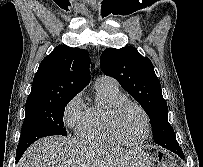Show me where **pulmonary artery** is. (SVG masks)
Wrapping results in <instances>:
<instances>
[{"mask_svg": "<svg viewBox=\"0 0 203 167\" xmlns=\"http://www.w3.org/2000/svg\"><path fill=\"white\" fill-rule=\"evenodd\" d=\"M115 83V80L109 76L101 75L96 80V86Z\"/></svg>", "mask_w": 203, "mask_h": 167, "instance_id": "obj_1", "label": "pulmonary artery"}]
</instances>
